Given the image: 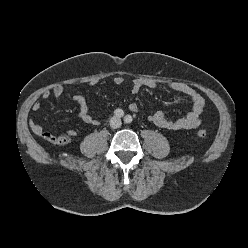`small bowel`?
Wrapping results in <instances>:
<instances>
[{"label": "small bowel", "mask_w": 248, "mask_h": 248, "mask_svg": "<svg viewBox=\"0 0 248 248\" xmlns=\"http://www.w3.org/2000/svg\"><path fill=\"white\" fill-rule=\"evenodd\" d=\"M124 82L125 79L123 76H117L114 78V83L116 85H121ZM96 83V81H91L89 84L93 86L96 85ZM164 85L172 91L188 96L192 101V108L184 117L176 120L168 119L162 111H156L149 115V121L160 128L171 131L189 130L200 126L202 122L201 114L205 105L203 96L195 88L183 82L170 81L166 82ZM159 87L160 84L156 80L136 78L131 82V93L135 95L138 94L143 88L156 89ZM64 90V86L59 84L54 86L51 90L43 92L41 97L44 100L49 99L51 96L54 98H59L63 95ZM74 101L78 105L77 117L82 122L92 125L100 124V120L90 113L86 100L82 95H75ZM40 108L41 103L39 101H35L32 105V110L37 112ZM129 109L132 112H137L139 110V106L136 102H131L129 104ZM29 126L31 130L40 137L47 139V136L50 135L45 132L43 127L33 119L29 121ZM67 135L72 138L77 135V132L74 129H70L68 130Z\"/></svg>", "instance_id": "1"}]
</instances>
